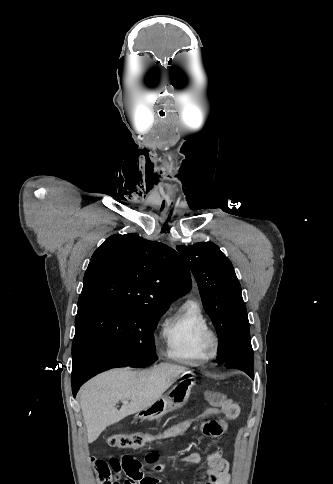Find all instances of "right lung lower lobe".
I'll return each mask as SVG.
<instances>
[{"instance_id":"1","label":"right lung lower lobe","mask_w":333,"mask_h":484,"mask_svg":"<svg viewBox=\"0 0 333 484\" xmlns=\"http://www.w3.org/2000/svg\"><path fill=\"white\" fill-rule=\"evenodd\" d=\"M128 366L115 349L92 338L80 343L77 355L72 360L73 396L79 387L94 375L109 368Z\"/></svg>"}]
</instances>
